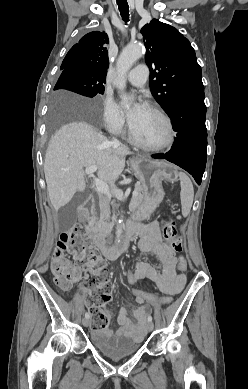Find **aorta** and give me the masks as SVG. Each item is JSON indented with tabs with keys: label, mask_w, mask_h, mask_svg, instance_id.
Instances as JSON below:
<instances>
[{
	"label": "aorta",
	"mask_w": 248,
	"mask_h": 389,
	"mask_svg": "<svg viewBox=\"0 0 248 389\" xmlns=\"http://www.w3.org/2000/svg\"><path fill=\"white\" fill-rule=\"evenodd\" d=\"M142 55L143 46L141 44L128 45L120 53L116 63L117 77L114 81V85L119 91H123L126 88V74ZM124 106L129 107V104L126 102ZM122 223L123 220L119 219L116 231L118 239L122 234Z\"/></svg>",
	"instance_id": "1"
}]
</instances>
